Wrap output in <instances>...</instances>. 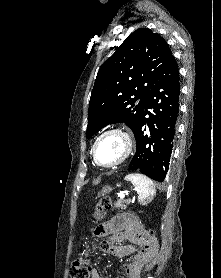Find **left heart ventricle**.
<instances>
[{"label":"left heart ventricle","mask_w":221,"mask_h":278,"mask_svg":"<svg viewBox=\"0 0 221 278\" xmlns=\"http://www.w3.org/2000/svg\"><path fill=\"white\" fill-rule=\"evenodd\" d=\"M124 150L123 138L118 134H108L97 144V159L103 165H110L122 157Z\"/></svg>","instance_id":"left-heart-ventricle-1"}]
</instances>
